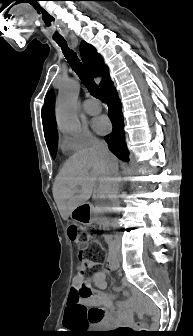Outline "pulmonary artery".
Here are the masks:
<instances>
[{
    "mask_svg": "<svg viewBox=\"0 0 193 336\" xmlns=\"http://www.w3.org/2000/svg\"><path fill=\"white\" fill-rule=\"evenodd\" d=\"M83 109L88 114H97L101 111V104L95 99H87L83 102Z\"/></svg>",
    "mask_w": 193,
    "mask_h": 336,
    "instance_id": "pulmonary-artery-1",
    "label": "pulmonary artery"
}]
</instances>
